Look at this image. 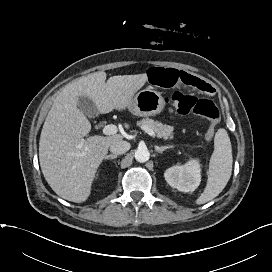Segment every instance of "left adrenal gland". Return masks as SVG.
Wrapping results in <instances>:
<instances>
[{"instance_id": "1", "label": "left adrenal gland", "mask_w": 272, "mask_h": 272, "mask_svg": "<svg viewBox=\"0 0 272 272\" xmlns=\"http://www.w3.org/2000/svg\"><path fill=\"white\" fill-rule=\"evenodd\" d=\"M170 148H173V146H161V147L155 146V150L161 154L163 153V151Z\"/></svg>"}]
</instances>
